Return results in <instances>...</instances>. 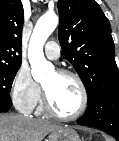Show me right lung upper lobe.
<instances>
[{"label": "right lung upper lobe", "instance_id": "1", "mask_svg": "<svg viewBox=\"0 0 119 141\" xmlns=\"http://www.w3.org/2000/svg\"><path fill=\"white\" fill-rule=\"evenodd\" d=\"M23 21L20 0H0V65H21Z\"/></svg>", "mask_w": 119, "mask_h": 141}]
</instances>
